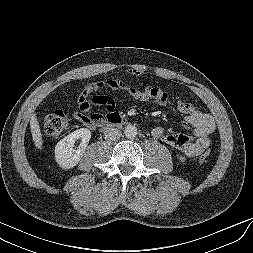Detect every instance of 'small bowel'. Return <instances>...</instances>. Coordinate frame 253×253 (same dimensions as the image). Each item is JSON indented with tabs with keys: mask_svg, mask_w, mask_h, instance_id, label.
<instances>
[{
	"mask_svg": "<svg viewBox=\"0 0 253 253\" xmlns=\"http://www.w3.org/2000/svg\"><path fill=\"white\" fill-rule=\"evenodd\" d=\"M129 74L139 76V70L131 69ZM101 89H110L122 92L130 98L140 102L153 101L159 105H167L169 95L166 91L159 87L151 86L144 89H137L128 83L116 79L109 78L95 81L87 84L78 97V112L75 118L83 125L90 129H94L101 125L105 118L100 113H93V106L102 107L110 117L115 111V101L108 96H92L93 93ZM176 106L179 112L185 115L187 124L193 127L191 134H167L161 126L152 129L151 134L154 138L161 140L166 145L176 148L188 158H195L204 152L210 145V137L216 129L215 121L209 114L199 111L192 103L185 101H177Z\"/></svg>",
	"mask_w": 253,
	"mask_h": 253,
	"instance_id": "obj_1",
	"label": "small bowel"
}]
</instances>
